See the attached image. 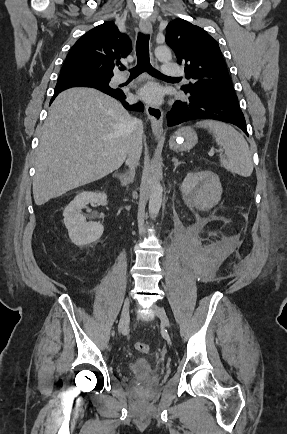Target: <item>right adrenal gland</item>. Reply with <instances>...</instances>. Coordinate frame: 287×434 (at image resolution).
I'll use <instances>...</instances> for the list:
<instances>
[{"label": "right adrenal gland", "mask_w": 287, "mask_h": 434, "mask_svg": "<svg viewBox=\"0 0 287 434\" xmlns=\"http://www.w3.org/2000/svg\"><path fill=\"white\" fill-rule=\"evenodd\" d=\"M114 176L117 177L120 180L121 185L124 186V187H127L128 184L130 182H132V179H133V173H132V171L126 172V173H119V174L115 173Z\"/></svg>", "instance_id": "obj_1"}]
</instances>
